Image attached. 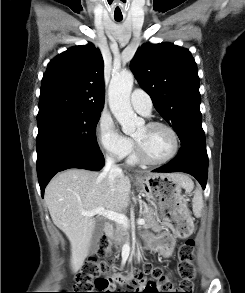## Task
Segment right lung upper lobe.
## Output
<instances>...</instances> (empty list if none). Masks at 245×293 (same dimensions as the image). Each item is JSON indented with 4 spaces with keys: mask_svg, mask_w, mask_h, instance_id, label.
I'll use <instances>...</instances> for the list:
<instances>
[{
    "mask_svg": "<svg viewBox=\"0 0 245 293\" xmlns=\"http://www.w3.org/2000/svg\"><path fill=\"white\" fill-rule=\"evenodd\" d=\"M103 74L102 55L91 43L59 54L49 62L43 76L39 111L49 108L102 111Z\"/></svg>",
    "mask_w": 245,
    "mask_h": 293,
    "instance_id": "1",
    "label": "right lung upper lobe"
}]
</instances>
